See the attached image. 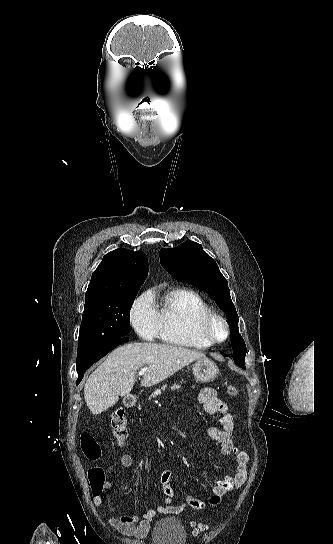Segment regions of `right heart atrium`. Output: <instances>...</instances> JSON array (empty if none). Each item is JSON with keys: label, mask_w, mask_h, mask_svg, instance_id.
<instances>
[{"label": "right heart atrium", "mask_w": 333, "mask_h": 544, "mask_svg": "<svg viewBox=\"0 0 333 544\" xmlns=\"http://www.w3.org/2000/svg\"><path fill=\"white\" fill-rule=\"evenodd\" d=\"M131 323L145 340H153L159 335L160 320L151 293L146 292L135 301L131 310Z\"/></svg>", "instance_id": "d8ad5b80"}]
</instances>
